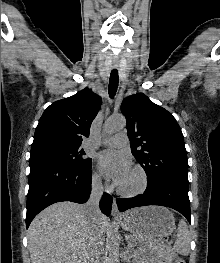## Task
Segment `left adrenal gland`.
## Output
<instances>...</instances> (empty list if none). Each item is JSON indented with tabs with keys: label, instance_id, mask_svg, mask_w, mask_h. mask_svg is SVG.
Segmentation results:
<instances>
[{
	"label": "left adrenal gland",
	"instance_id": "a2214340",
	"mask_svg": "<svg viewBox=\"0 0 220 263\" xmlns=\"http://www.w3.org/2000/svg\"><path fill=\"white\" fill-rule=\"evenodd\" d=\"M127 242H128V250H133L134 249V243L132 242V240H128L127 238Z\"/></svg>",
	"mask_w": 220,
	"mask_h": 263
}]
</instances>
